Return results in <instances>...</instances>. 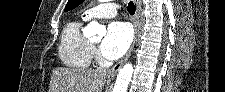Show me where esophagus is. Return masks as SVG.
<instances>
[{"mask_svg":"<svg viewBox=\"0 0 225 92\" xmlns=\"http://www.w3.org/2000/svg\"><path fill=\"white\" fill-rule=\"evenodd\" d=\"M134 2L136 5V14L133 20L134 30H135L134 40L130 48L128 49L127 53L125 54V56L109 70V75H116L119 72V70L123 67V65L127 62L135 46L137 38L140 34L141 0H134Z\"/></svg>","mask_w":225,"mask_h":92,"instance_id":"esophagus-1","label":"esophagus"}]
</instances>
